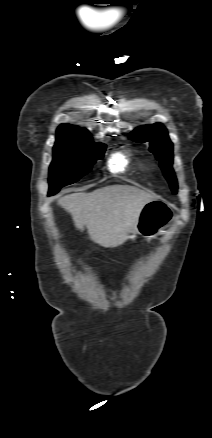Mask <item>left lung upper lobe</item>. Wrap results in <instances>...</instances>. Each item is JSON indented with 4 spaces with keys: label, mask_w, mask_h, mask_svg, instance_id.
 I'll return each instance as SVG.
<instances>
[{
    "label": "left lung upper lobe",
    "mask_w": 212,
    "mask_h": 438,
    "mask_svg": "<svg viewBox=\"0 0 212 438\" xmlns=\"http://www.w3.org/2000/svg\"><path fill=\"white\" fill-rule=\"evenodd\" d=\"M130 139L138 143L149 142L150 152L160 162V166L172 191L176 193L177 180L172 169L173 144L168 137L166 128L160 123L138 127L131 132Z\"/></svg>",
    "instance_id": "5c2ea615"
}]
</instances>
